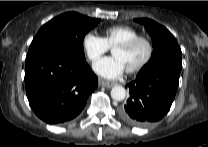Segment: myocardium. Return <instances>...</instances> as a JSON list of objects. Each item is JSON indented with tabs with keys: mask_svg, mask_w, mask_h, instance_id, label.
<instances>
[{
	"mask_svg": "<svg viewBox=\"0 0 208 147\" xmlns=\"http://www.w3.org/2000/svg\"><path fill=\"white\" fill-rule=\"evenodd\" d=\"M138 43H145L147 46V54L145 56V58L136 66L127 69L128 73H136L141 71L143 68H145L149 62L152 60L153 55H154V45L153 42L151 41L150 38L146 37V36H136L132 39H129L125 42H122L120 44H118L115 48H122V49H131L134 46H136Z\"/></svg>",
	"mask_w": 208,
	"mask_h": 147,
	"instance_id": "myocardium-1",
	"label": "myocardium"
}]
</instances>
